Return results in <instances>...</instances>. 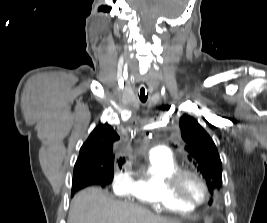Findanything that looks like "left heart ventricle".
I'll list each match as a JSON object with an SVG mask.
<instances>
[{
	"label": "left heart ventricle",
	"mask_w": 267,
	"mask_h": 223,
	"mask_svg": "<svg viewBox=\"0 0 267 223\" xmlns=\"http://www.w3.org/2000/svg\"><path fill=\"white\" fill-rule=\"evenodd\" d=\"M183 191L188 197L196 200H200L204 194L201 184L190 176L183 181Z\"/></svg>",
	"instance_id": "obj_1"
}]
</instances>
